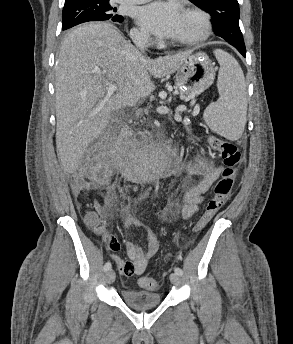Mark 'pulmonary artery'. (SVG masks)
<instances>
[{
	"mask_svg": "<svg viewBox=\"0 0 293 344\" xmlns=\"http://www.w3.org/2000/svg\"><path fill=\"white\" fill-rule=\"evenodd\" d=\"M117 1L122 2V3H128V4H142L150 0H117Z\"/></svg>",
	"mask_w": 293,
	"mask_h": 344,
	"instance_id": "e3ab8cb5",
	"label": "pulmonary artery"
}]
</instances>
